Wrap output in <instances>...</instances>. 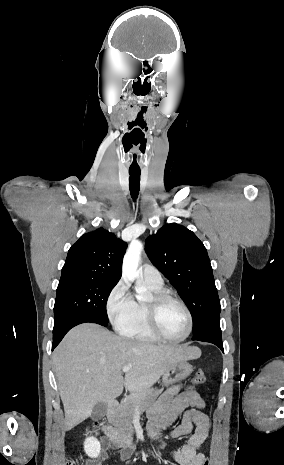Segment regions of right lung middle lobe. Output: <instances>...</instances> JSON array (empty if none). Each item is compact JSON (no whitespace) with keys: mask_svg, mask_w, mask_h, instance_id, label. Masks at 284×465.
Instances as JSON below:
<instances>
[{"mask_svg":"<svg viewBox=\"0 0 284 465\" xmlns=\"http://www.w3.org/2000/svg\"><path fill=\"white\" fill-rule=\"evenodd\" d=\"M116 284L86 277L60 279L54 305V326L77 316L95 317L108 323L106 303Z\"/></svg>","mask_w":284,"mask_h":465,"instance_id":"right-lung-middle-lobe-1","label":"right lung middle lobe"}]
</instances>
